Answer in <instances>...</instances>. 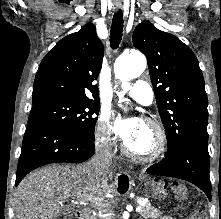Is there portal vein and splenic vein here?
Instances as JSON below:
<instances>
[{
  "label": "portal vein and splenic vein",
  "mask_w": 221,
  "mask_h": 219,
  "mask_svg": "<svg viewBox=\"0 0 221 219\" xmlns=\"http://www.w3.org/2000/svg\"><path fill=\"white\" fill-rule=\"evenodd\" d=\"M86 200H77L75 201V204L77 205H82V204H86ZM140 210V207H136V211L138 212Z\"/></svg>",
  "instance_id": "1"
}]
</instances>
